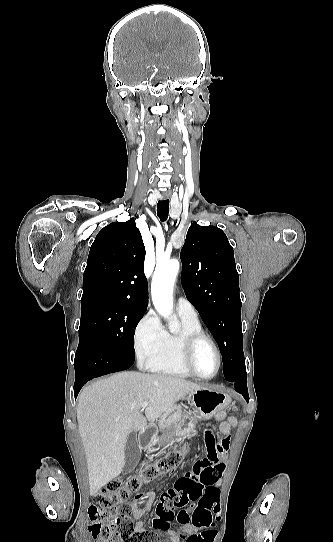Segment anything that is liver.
<instances>
[{
  "mask_svg": "<svg viewBox=\"0 0 333 542\" xmlns=\"http://www.w3.org/2000/svg\"><path fill=\"white\" fill-rule=\"evenodd\" d=\"M201 388L185 378L140 372H120L86 386L79 396L77 420L90 496H96L121 474L131 432L144 434L147 420H157L165 410ZM143 402H148L147 420L140 412Z\"/></svg>",
  "mask_w": 333,
  "mask_h": 542,
  "instance_id": "6515ba94",
  "label": "liver"
}]
</instances>
